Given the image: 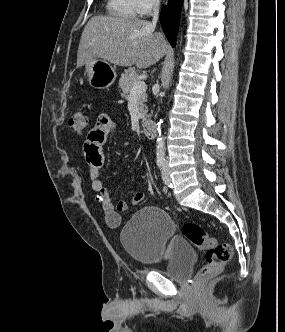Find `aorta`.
Listing matches in <instances>:
<instances>
[{
    "instance_id": "1",
    "label": "aorta",
    "mask_w": 285,
    "mask_h": 332,
    "mask_svg": "<svg viewBox=\"0 0 285 332\" xmlns=\"http://www.w3.org/2000/svg\"><path fill=\"white\" fill-rule=\"evenodd\" d=\"M156 155L158 159L164 158L165 155V142H164V136L159 133V136L157 138L156 142Z\"/></svg>"
}]
</instances>
